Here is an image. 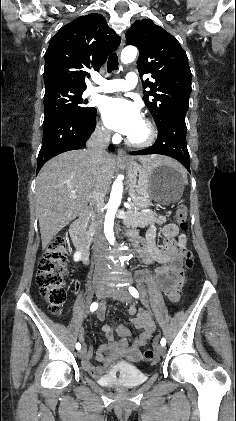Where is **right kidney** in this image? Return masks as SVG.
<instances>
[{
	"label": "right kidney",
	"mask_w": 236,
	"mask_h": 421,
	"mask_svg": "<svg viewBox=\"0 0 236 421\" xmlns=\"http://www.w3.org/2000/svg\"><path fill=\"white\" fill-rule=\"evenodd\" d=\"M81 253H74V261H80Z\"/></svg>",
	"instance_id": "obj_1"
}]
</instances>
